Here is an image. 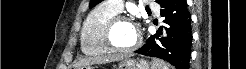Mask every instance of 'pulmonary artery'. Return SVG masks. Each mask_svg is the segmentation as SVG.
<instances>
[{"mask_svg":"<svg viewBox=\"0 0 246 69\" xmlns=\"http://www.w3.org/2000/svg\"><path fill=\"white\" fill-rule=\"evenodd\" d=\"M106 3L117 13H119L123 9V1L121 0L107 1ZM150 6H153V3H150Z\"/></svg>","mask_w":246,"mask_h":69,"instance_id":"1","label":"pulmonary artery"}]
</instances>
